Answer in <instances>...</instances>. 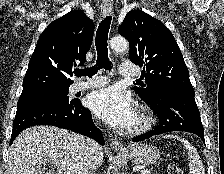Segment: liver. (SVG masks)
Returning a JSON list of instances; mask_svg holds the SVG:
<instances>
[{"instance_id": "6515ba94", "label": "liver", "mask_w": 224, "mask_h": 174, "mask_svg": "<svg viewBox=\"0 0 224 174\" xmlns=\"http://www.w3.org/2000/svg\"><path fill=\"white\" fill-rule=\"evenodd\" d=\"M82 135L54 126H33L22 131L9 149L8 174H47L44 162L54 164L56 174H79L86 162ZM101 148V147H100ZM102 148L95 155L97 169L103 162Z\"/></svg>"}]
</instances>
